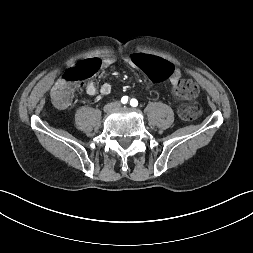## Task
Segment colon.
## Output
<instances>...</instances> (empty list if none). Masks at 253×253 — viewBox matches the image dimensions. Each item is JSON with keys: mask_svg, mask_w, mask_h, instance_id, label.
<instances>
[{"mask_svg": "<svg viewBox=\"0 0 253 253\" xmlns=\"http://www.w3.org/2000/svg\"><path fill=\"white\" fill-rule=\"evenodd\" d=\"M133 62L153 80L164 78L172 71L171 64L149 52H136ZM100 67V61L94 58L70 68L53 87L52 98L55 104L66 107L71 100L72 86L95 75ZM174 92L181 98H193L198 94V87L192 80L184 79L177 83ZM200 113L201 107L197 103L184 104L179 108V116L185 121L195 120Z\"/></svg>", "mask_w": 253, "mask_h": 253, "instance_id": "colon-1", "label": "colon"}]
</instances>
